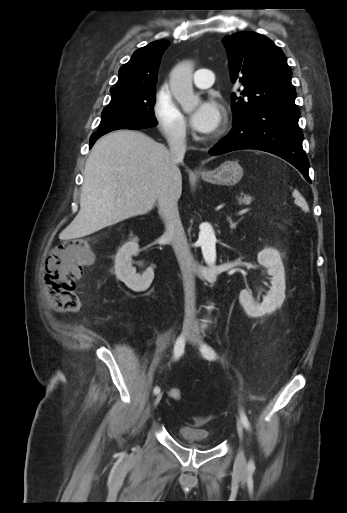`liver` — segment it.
<instances>
[{
    "label": "liver",
    "mask_w": 347,
    "mask_h": 513,
    "mask_svg": "<svg viewBox=\"0 0 347 513\" xmlns=\"http://www.w3.org/2000/svg\"><path fill=\"white\" fill-rule=\"evenodd\" d=\"M168 183L180 197L181 172L163 144L139 131L110 132L95 143L86 161L80 210L60 237H84L147 214Z\"/></svg>",
    "instance_id": "6515ba94"
}]
</instances>
